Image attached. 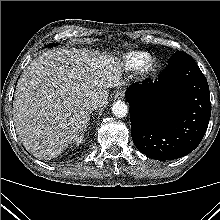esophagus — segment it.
I'll list each match as a JSON object with an SVG mask.
<instances>
[{"instance_id": "34e87169", "label": "esophagus", "mask_w": 220, "mask_h": 220, "mask_svg": "<svg viewBox=\"0 0 220 220\" xmlns=\"http://www.w3.org/2000/svg\"><path fill=\"white\" fill-rule=\"evenodd\" d=\"M125 96V91L124 90H119L117 91V93L115 94V99L117 100H121L123 99Z\"/></svg>"}]
</instances>
